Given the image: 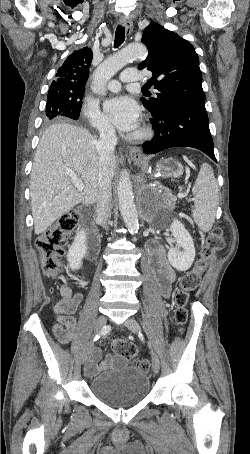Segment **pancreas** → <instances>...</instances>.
<instances>
[{"label":"pancreas","mask_w":250,"mask_h":454,"mask_svg":"<svg viewBox=\"0 0 250 454\" xmlns=\"http://www.w3.org/2000/svg\"><path fill=\"white\" fill-rule=\"evenodd\" d=\"M174 204H175V199H174L173 196H170V197H169V200H168V206H169L170 208H174Z\"/></svg>","instance_id":"obj_1"}]
</instances>
